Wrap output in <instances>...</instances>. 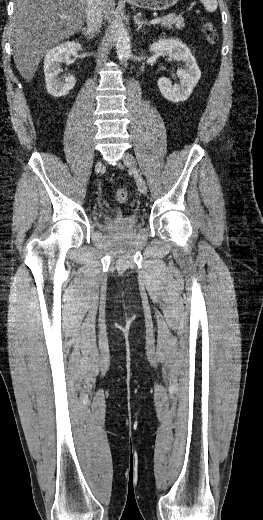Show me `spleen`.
Here are the masks:
<instances>
[{"label":"spleen","mask_w":263,"mask_h":520,"mask_svg":"<svg viewBox=\"0 0 263 520\" xmlns=\"http://www.w3.org/2000/svg\"><path fill=\"white\" fill-rule=\"evenodd\" d=\"M206 11L215 12L218 6L217 0H201Z\"/></svg>","instance_id":"1"}]
</instances>
